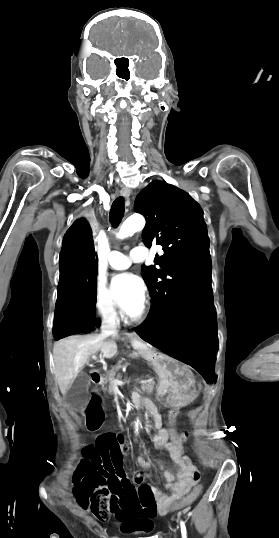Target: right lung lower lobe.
Wrapping results in <instances>:
<instances>
[{"label":"right lung lower lobe","mask_w":279,"mask_h":538,"mask_svg":"<svg viewBox=\"0 0 279 538\" xmlns=\"http://www.w3.org/2000/svg\"><path fill=\"white\" fill-rule=\"evenodd\" d=\"M59 267L53 325L55 340L93 331L101 324L95 314L97 259L92 231L85 219L74 222L64 235Z\"/></svg>","instance_id":"98d812e1"}]
</instances>
